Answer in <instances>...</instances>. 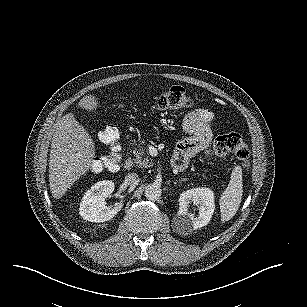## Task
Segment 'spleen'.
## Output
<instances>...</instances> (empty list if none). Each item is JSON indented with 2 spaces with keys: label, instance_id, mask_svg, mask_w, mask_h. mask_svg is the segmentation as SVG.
Here are the masks:
<instances>
[{
  "label": "spleen",
  "instance_id": "1",
  "mask_svg": "<svg viewBox=\"0 0 307 307\" xmlns=\"http://www.w3.org/2000/svg\"><path fill=\"white\" fill-rule=\"evenodd\" d=\"M242 169L237 166L231 174V180L220 199L222 221L230 220L237 212L242 200Z\"/></svg>",
  "mask_w": 307,
  "mask_h": 307
}]
</instances>
